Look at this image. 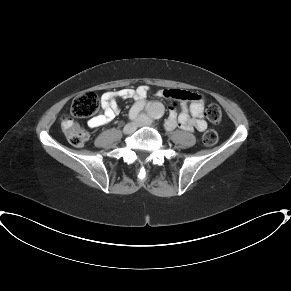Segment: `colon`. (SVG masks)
<instances>
[{
    "mask_svg": "<svg viewBox=\"0 0 291 291\" xmlns=\"http://www.w3.org/2000/svg\"><path fill=\"white\" fill-rule=\"evenodd\" d=\"M98 96L88 91L78 95L72 102L70 114L61 118L60 127L68 141L74 146H83L89 139V131L81 126L76 120L93 115L98 109ZM205 116L213 123L221 120V109L215 104H209L205 109ZM218 140L215 130H207L203 134L202 141L207 146L214 145Z\"/></svg>",
    "mask_w": 291,
    "mask_h": 291,
    "instance_id": "1",
    "label": "colon"
}]
</instances>
